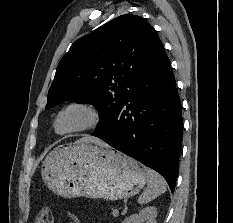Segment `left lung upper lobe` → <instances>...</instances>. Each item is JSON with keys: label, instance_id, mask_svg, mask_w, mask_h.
I'll list each match as a JSON object with an SVG mask.
<instances>
[{"label": "left lung upper lobe", "instance_id": "left-lung-upper-lobe-1", "mask_svg": "<svg viewBox=\"0 0 233 223\" xmlns=\"http://www.w3.org/2000/svg\"><path fill=\"white\" fill-rule=\"evenodd\" d=\"M159 43L153 27L140 16L121 15L104 24L74 42L63 56L45 109L71 99L93 104L100 130L127 101Z\"/></svg>", "mask_w": 233, "mask_h": 223}]
</instances>
